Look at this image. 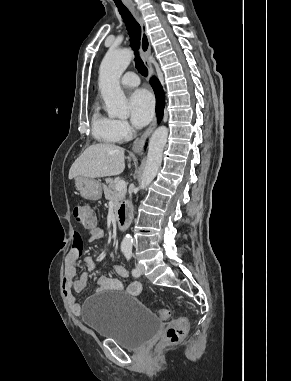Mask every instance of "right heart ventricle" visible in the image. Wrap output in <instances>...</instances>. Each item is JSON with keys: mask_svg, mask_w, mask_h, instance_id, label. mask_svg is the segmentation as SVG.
Listing matches in <instances>:
<instances>
[{"mask_svg": "<svg viewBox=\"0 0 291 381\" xmlns=\"http://www.w3.org/2000/svg\"><path fill=\"white\" fill-rule=\"evenodd\" d=\"M91 125L93 136L100 142L117 143L122 140L116 130L115 120L103 114L98 106L93 110Z\"/></svg>", "mask_w": 291, "mask_h": 381, "instance_id": "e07e8e85", "label": "right heart ventricle"}]
</instances>
